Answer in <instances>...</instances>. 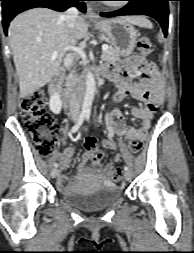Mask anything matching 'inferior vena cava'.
Here are the masks:
<instances>
[{
  "label": "inferior vena cava",
  "instance_id": "obj_1",
  "mask_svg": "<svg viewBox=\"0 0 194 253\" xmlns=\"http://www.w3.org/2000/svg\"><path fill=\"white\" fill-rule=\"evenodd\" d=\"M62 18L66 21L68 28L74 29L78 18V10L75 7L69 8L63 15ZM75 41H73V44ZM74 56L69 53L66 55L64 61L67 65H72ZM79 90L74 89L70 95V115L72 119H77L80 115V103L78 98Z\"/></svg>",
  "mask_w": 194,
  "mask_h": 253
}]
</instances>
